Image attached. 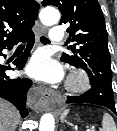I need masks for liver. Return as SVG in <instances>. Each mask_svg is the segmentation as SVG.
<instances>
[{
  "instance_id": "liver-1",
  "label": "liver",
  "mask_w": 117,
  "mask_h": 131,
  "mask_svg": "<svg viewBox=\"0 0 117 131\" xmlns=\"http://www.w3.org/2000/svg\"><path fill=\"white\" fill-rule=\"evenodd\" d=\"M19 120L18 110L11 103L0 99V131H15Z\"/></svg>"
}]
</instances>
